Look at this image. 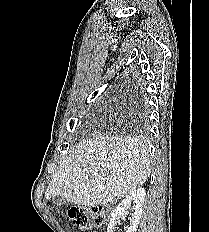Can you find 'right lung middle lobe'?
<instances>
[{
    "label": "right lung middle lobe",
    "mask_w": 209,
    "mask_h": 232,
    "mask_svg": "<svg viewBox=\"0 0 209 232\" xmlns=\"http://www.w3.org/2000/svg\"><path fill=\"white\" fill-rule=\"evenodd\" d=\"M145 104H139L138 115L135 118L136 124L139 127H144L146 125V114H145Z\"/></svg>",
    "instance_id": "1"
}]
</instances>
